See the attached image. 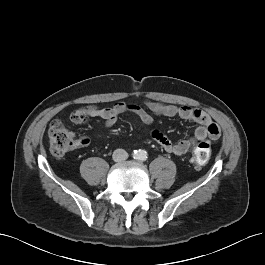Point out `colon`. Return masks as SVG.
Returning <instances> with one entry per match:
<instances>
[{
	"label": "colon",
	"mask_w": 265,
	"mask_h": 265,
	"mask_svg": "<svg viewBox=\"0 0 265 265\" xmlns=\"http://www.w3.org/2000/svg\"><path fill=\"white\" fill-rule=\"evenodd\" d=\"M50 151L54 157L60 158L72 150L78 143L76 135L66 129L60 122H54L48 132ZM211 155L210 145L198 140L192 151V161L198 166H204Z\"/></svg>",
	"instance_id": "colon-1"
}]
</instances>
